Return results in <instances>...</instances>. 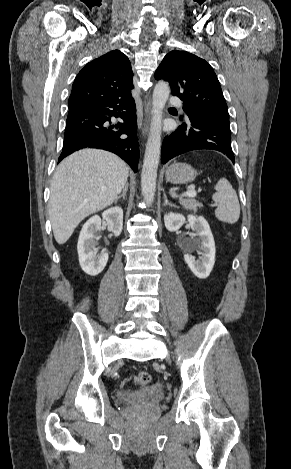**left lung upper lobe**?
<instances>
[{
    "label": "left lung upper lobe",
    "mask_w": 291,
    "mask_h": 469,
    "mask_svg": "<svg viewBox=\"0 0 291 469\" xmlns=\"http://www.w3.org/2000/svg\"><path fill=\"white\" fill-rule=\"evenodd\" d=\"M155 78L169 82L172 94L183 101L186 115L193 111L229 122L220 83L205 60L186 51L173 50L164 57Z\"/></svg>",
    "instance_id": "left-lung-upper-lobe-1"
}]
</instances>
